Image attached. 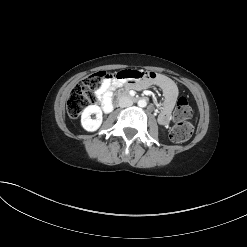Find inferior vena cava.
Instances as JSON below:
<instances>
[{"mask_svg":"<svg viewBox=\"0 0 247 247\" xmlns=\"http://www.w3.org/2000/svg\"><path fill=\"white\" fill-rule=\"evenodd\" d=\"M133 104V101L130 96L128 95H122L118 100V105L122 108L131 106Z\"/></svg>","mask_w":247,"mask_h":247,"instance_id":"602c4592","label":"inferior vena cava"}]
</instances>
